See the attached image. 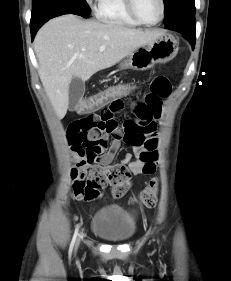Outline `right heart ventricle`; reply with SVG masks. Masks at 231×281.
<instances>
[{
  "mask_svg": "<svg viewBox=\"0 0 231 281\" xmlns=\"http://www.w3.org/2000/svg\"><path fill=\"white\" fill-rule=\"evenodd\" d=\"M97 17L108 24L139 26L140 24L129 14L124 0H98Z\"/></svg>",
  "mask_w": 231,
  "mask_h": 281,
  "instance_id": "obj_1",
  "label": "right heart ventricle"
}]
</instances>
